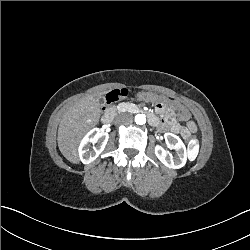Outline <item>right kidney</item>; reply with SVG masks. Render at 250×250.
Here are the masks:
<instances>
[{
  "instance_id": "ca27d5eb",
  "label": "right kidney",
  "mask_w": 250,
  "mask_h": 250,
  "mask_svg": "<svg viewBox=\"0 0 250 250\" xmlns=\"http://www.w3.org/2000/svg\"><path fill=\"white\" fill-rule=\"evenodd\" d=\"M96 133L93 135V133ZM109 139V135L106 132H101L98 128L90 130L84 138L78 148L79 158L83 164H89L93 162L104 150ZM89 143H97L93 148V151L89 150Z\"/></svg>"
}]
</instances>
